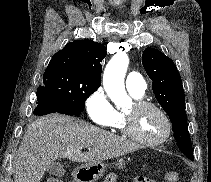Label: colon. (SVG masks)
Returning <instances> with one entry per match:
<instances>
[{"mask_svg":"<svg viewBox=\"0 0 211 182\" xmlns=\"http://www.w3.org/2000/svg\"><path fill=\"white\" fill-rule=\"evenodd\" d=\"M178 173L175 171H167L164 174V179L167 182H176L178 180ZM116 178V175L114 173H110L107 175L106 179L104 182H113ZM47 182H62L61 179L57 177H50Z\"/></svg>","mask_w":211,"mask_h":182,"instance_id":"1","label":"colon"}]
</instances>
